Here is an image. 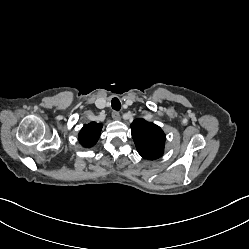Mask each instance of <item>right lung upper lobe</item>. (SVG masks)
Returning a JSON list of instances; mask_svg holds the SVG:
<instances>
[{"mask_svg":"<svg viewBox=\"0 0 249 249\" xmlns=\"http://www.w3.org/2000/svg\"><path fill=\"white\" fill-rule=\"evenodd\" d=\"M102 124L91 122L85 125L79 133V142L84 147H92L98 141Z\"/></svg>","mask_w":249,"mask_h":249,"instance_id":"cb5924a9","label":"right lung upper lobe"}]
</instances>
